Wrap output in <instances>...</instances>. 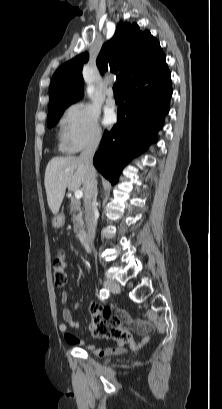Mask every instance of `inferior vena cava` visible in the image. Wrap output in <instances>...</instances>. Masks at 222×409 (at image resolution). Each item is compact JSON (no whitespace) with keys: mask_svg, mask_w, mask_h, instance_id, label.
Here are the masks:
<instances>
[{"mask_svg":"<svg viewBox=\"0 0 222 409\" xmlns=\"http://www.w3.org/2000/svg\"><path fill=\"white\" fill-rule=\"evenodd\" d=\"M100 142V136L90 140L82 153L79 156L80 161L85 167V179L83 182L84 190V208H85V222L87 227L88 241L92 242L95 238V231L97 226L98 210L96 205L97 200V180L96 170L93 166V157Z\"/></svg>","mask_w":222,"mask_h":409,"instance_id":"obj_1","label":"inferior vena cava"}]
</instances>
